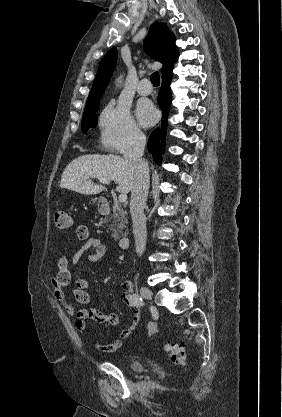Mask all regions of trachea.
<instances>
[{
	"instance_id": "3493384b",
	"label": "trachea",
	"mask_w": 282,
	"mask_h": 417,
	"mask_svg": "<svg viewBox=\"0 0 282 417\" xmlns=\"http://www.w3.org/2000/svg\"><path fill=\"white\" fill-rule=\"evenodd\" d=\"M150 81L152 82L154 87H159V85H160L159 73L158 72L152 73V75H150Z\"/></svg>"
}]
</instances>
